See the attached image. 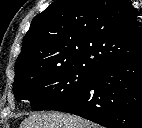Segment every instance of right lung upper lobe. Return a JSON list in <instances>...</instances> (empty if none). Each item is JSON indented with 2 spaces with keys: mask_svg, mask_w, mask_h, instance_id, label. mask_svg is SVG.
Returning <instances> with one entry per match:
<instances>
[{
  "mask_svg": "<svg viewBox=\"0 0 142 128\" xmlns=\"http://www.w3.org/2000/svg\"><path fill=\"white\" fill-rule=\"evenodd\" d=\"M142 53L127 0H56L34 17L15 63V79L39 69L80 65L92 72Z\"/></svg>",
  "mask_w": 142,
  "mask_h": 128,
  "instance_id": "obj_1",
  "label": "right lung upper lobe"
}]
</instances>
